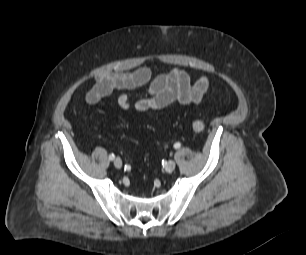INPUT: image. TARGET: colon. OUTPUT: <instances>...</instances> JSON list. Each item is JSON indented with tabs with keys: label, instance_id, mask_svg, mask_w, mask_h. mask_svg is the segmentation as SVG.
Returning a JSON list of instances; mask_svg holds the SVG:
<instances>
[{
	"label": "colon",
	"instance_id": "1",
	"mask_svg": "<svg viewBox=\"0 0 306 255\" xmlns=\"http://www.w3.org/2000/svg\"><path fill=\"white\" fill-rule=\"evenodd\" d=\"M97 106L101 108V107L104 106V103L102 101H99L97 103ZM192 129L197 134L203 132L204 129H205V122H204V120L201 119V118L193 119V121H192Z\"/></svg>",
	"mask_w": 306,
	"mask_h": 255
}]
</instances>
